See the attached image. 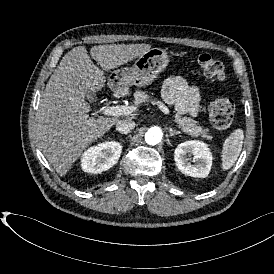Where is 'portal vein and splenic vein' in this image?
Returning a JSON list of instances; mask_svg holds the SVG:
<instances>
[{"instance_id":"1","label":"portal vein and splenic vein","mask_w":274,"mask_h":274,"mask_svg":"<svg viewBox=\"0 0 274 274\" xmlns=\"http://www.w3.org/2000/svg\"><path fill=\"white\" fill-rule=\"evenodd\" d=\"M152 104H156L159 108L165 113H169V109L167 106L164 105L161 101H153ZM104 115L107 116H122V115H130L134 111H136L135 106H127V105H117V106H109V107H102L100 109Z\"/></svg>"}]
</instances>
